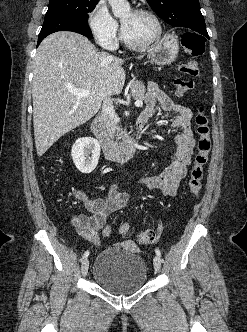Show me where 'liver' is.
<instances>
[{
    "label": "liver",
    "instance_id": "1",
    "mask_svg": "<svg viewBox=\"0 0 247 332\" xmlns=\"http://www.w3.org/2000/svg\"><path fill=\"white\" fill-rule=\"evenodd\" d=\"M123 63L118 57L98 52L86 37L75 32H56L41 42L32 82L39 157L64 134L89 121L103 101L121 93L126 78ZM71 89L89 90L90 94L78 96Z\"/></svg>",
    "mask_w": 247,
    "mask_h": 332
}]
</instances>
